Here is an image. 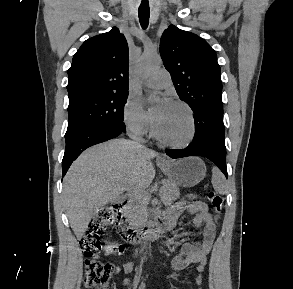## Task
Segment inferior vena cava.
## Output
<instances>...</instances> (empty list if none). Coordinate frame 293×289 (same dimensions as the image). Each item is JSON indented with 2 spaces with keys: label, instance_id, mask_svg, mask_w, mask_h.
Returning <instances> with one entry per match:
<instances>
[{
  "label": "inferior vena cava",
  "instance_id": "obj_1",
  "mask_svg": "<svg viewBox=\"0 0 293 289\" xmlns=\"http://www.w3.org/2000/svg\"><path fill=\"white\" fill-rule=\"evenodd\" d=\"M129 136L131 139H133L137 143L143 141L140 133L130 134Z\"/></svg>",
  "mask_w": 293,
  "mask_h": 289
}]
</instances>
